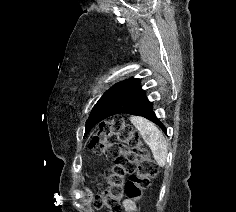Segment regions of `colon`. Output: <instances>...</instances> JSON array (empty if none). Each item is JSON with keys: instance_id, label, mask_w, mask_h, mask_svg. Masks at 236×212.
I'll return each mask as SVG.
<instances>
[{"instance_id": "5ec220e1", "label": "colon", "mask_w": 236, "mask_h": 212, "mask_svg": "<svg viewBox=\"0 0 236 212\" xmlns=\"http://www.w3.org/2000/svg\"><path fill=\"white\" fill-rule=\"evenodd\" d=\"M88 147L113 161L107 187L103 195L95 200L99 209L121 212V198L125 195L139 201L150 180L157 175L156 163L150 158L138 134L121 117L103 122ZM125 175H129V179L124 184Z\"/></svg>"}]
</instances>
